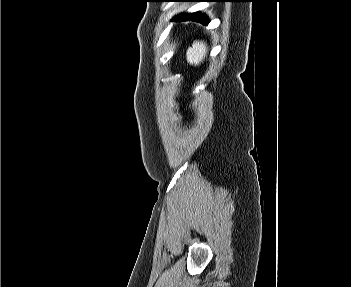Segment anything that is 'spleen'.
Wrapping results in <instances>:
<instances>
[{
    "instance_id": "3e777b00",
    "label": "spleen",
    "mask_w": 351,
    "mask_h": 287,
    "mask_svg": "<svg viewBox=\"0 0 351 287\" xmlns=\"http://www.w3.org/2000/svg\"><path fill=\"white\" fill-rule=\"evenodd\" d=\"M207 54L206 44L195 41L192 47H189L186 53L187 61L191 65H199Z\"/></svg>"
}]
</instances>
